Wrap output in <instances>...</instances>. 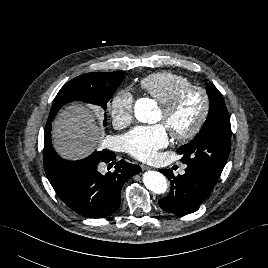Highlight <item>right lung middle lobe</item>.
<instances>
[{
    "label": "right lung middle lobe",
    "instance_id": "1",
    "mask_svg": "<svg viewBox=\"0 0 268 268\" xmlns=\"http://www.w3.org/2000/svg\"><path fill=\"white\" fill-rule=\"evenodd\" d=\"M122 82L119 81L117 84L113 85L108 89L104 95L93 98L85 101L86 103H92L101 106L103 109H106V104L116 91L117 87ZM60 101L59 99H54L52 107ZM104 125H106V119H104ZM52 144V143H51ZM44 168L47 174V177L53 186L57 194L61 193L68 185L70 181V176L68 175L69 169L73 161H67L59 157L56 152L54 159L51 158L47 153H43Z\"/></svg>",
    "mask_w": 268,
    "mask_h": 268
}]
</instances>
